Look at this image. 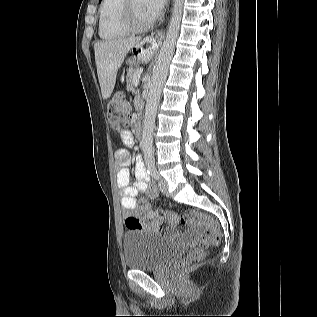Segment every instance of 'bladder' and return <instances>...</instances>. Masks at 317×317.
I'll use <instances>...</instances> for the list:
<instances>
[{"label": "bladder", "mask_w": 317, "mask_h": 317, "mask_svg": "<svg viewBox=\"0 0 317 317\" xmlns=\"http://www.w3.org/2000/svg\"><path fill=\"white\" fill-rule=\"evenodd\" d=\"M125 266L149 271L164 267L176 254L173 241L148 230H129L123 237Z\"/></svg>", "instance_id": "obj_1"}]
</instances>
